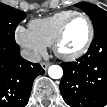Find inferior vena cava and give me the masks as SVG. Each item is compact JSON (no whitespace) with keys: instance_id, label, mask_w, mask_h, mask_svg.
<instances>
[{"instance_id":"obj_1","label":"inferior vena cava","mask_w":107,"mask_h":107,"mask_svg":"<svg viewBox=\"0 0 107 107\" xmlns=\"http://www.w3.org/2000/svg\"><path fill=\"white\" fill-rule=\"evenodd\" d=\"M21 56L32 63H38L41 61V56L38 53L28 49L21 50Z\"/></svg>"}]
</instances>
